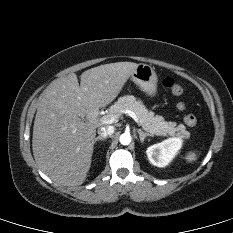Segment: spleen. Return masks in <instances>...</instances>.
<instances>
[{
	"mask_svg": "<svg viewBox=\"0 0 233 233\" xmlns=\"http://www.w3.org/2000/svg\"><path fill=\"white\" fill-rule=\"evenodd\" d=\"M186 159L189 162H192V161L196 160V155L194 153H189L188 156L186 157Z\"/></svg>",
	"mask_w": 233,
	"mask_h": 233,
	"instance_id": "spleen-1",
	"label": "spleen"
}]
</instances>
